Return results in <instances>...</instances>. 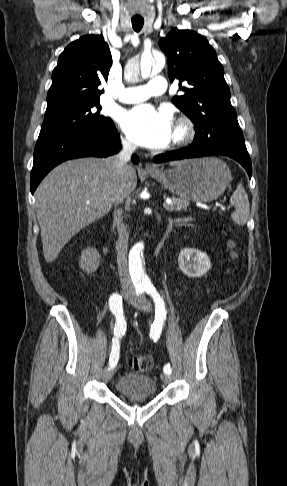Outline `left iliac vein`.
<instances>
[{
  "mask_svg": "<svg viewBox=\"0 0 287 486\" xmlns=\"http://www.w3.org/2000/svg\"><path fill=\"white\" fill-rule=\"evenodd\" d=\"M129 300L131 304L140 311L149 312L151 310V304L144 296L132 295ZM161 379L167 384L171 381V376L163 373L161 374Z\"/></svg>",
  "mask_w": 287,
  "mask_h": 486,
  "instance_id": "left-iliac-vein-1",
  "label": "left iliac vein"
}]
</instances>
